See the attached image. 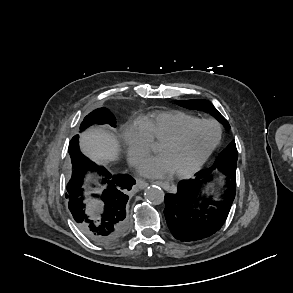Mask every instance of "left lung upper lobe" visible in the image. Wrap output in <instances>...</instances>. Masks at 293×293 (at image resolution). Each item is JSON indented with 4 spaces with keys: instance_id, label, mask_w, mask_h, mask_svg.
Returning <instances> with one entry per match:
<instances>
[{
    "instance_id": "left-lung-upper-lobe-1",
    "label": "left lung upper lobe",
    "mask_w": 293,
    "mask_h": 293,
    "mask_svg": "<svg viewBox=\"0 0 293 293\" xmlns=\"http://www.w3.org/2000/svg\"><path fill=\"white\" fill-rule=\"evenodd\" d=\"M176 103L188 109L203 110L210 113L226 128H230L228 121L218 112V110L207 100H179ZM238 152L235 141H232L217 157L213 167H218L222 171L236 169Z\"/></svg>"
}]
</instances>
